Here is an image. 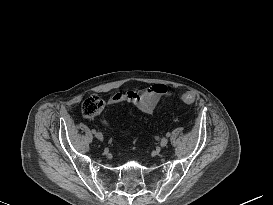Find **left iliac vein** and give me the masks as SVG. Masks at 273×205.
I'll return each mask as SVG.
<instances>
[{
  "instance_id": "obj_1",
  "label": "left iliac vein",
  "mask_w": 273,
  "mask_h": 205,
  "mask_svg": "<svg viewBox=\"0 0 273 205\" xmlns=\"http://www.w3.org/2000/svg\"><path fill=\"white\" fill-rule=\"evenodd\" d=\"M168 144V139L166 137H163L160 141V146L165 147Z\"/></svg>"
}]
</instances>
